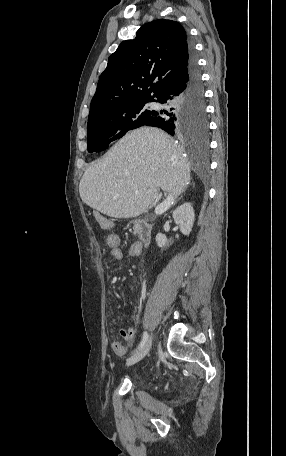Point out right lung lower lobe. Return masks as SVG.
Returning a JSON list of instances; mask_svg holds the SVG:
<instances>
[{"label": "right lung lower lobe", "instance_id": "right-lung-lower-lobe-1", "mask_svg": "<svg viewBox=\"0 0 286 456\" xmlns=\"http://www.w3.org/2000/svg\"><path fill=\"white\" fill-rule=\"evenodd\" d=\"M154 101L166 104L169 110L156 111L147 126L159 127L171 135L205 134L192 130L193 125H205L207 131L204 90L193 50L186 76L164 90Z\"/></svg>", "mask_w": 286, "mask_h": 456}]
</instances>
